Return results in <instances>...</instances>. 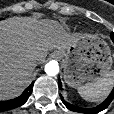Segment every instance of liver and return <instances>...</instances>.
<instances>
[{
	"label": "liver",
	"mask_w": 114,
	"mask_h": 114,
	"mask_svg": "<svg viewBox=\"0 0 114 114\" xmlns=\"http://www.w3.org/2000/svg\"><path fill=\"white\" fill-rule=\"evenodd\" d=\"M80 36L54 20L15 17L0 22V100L13 98L28 85L48 50L65 49Z\"/></svg>",
	"instance_id": "obj_1"
}]
</instances>
